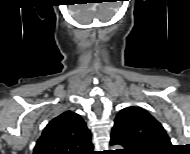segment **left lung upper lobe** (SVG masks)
Instances as JSON below:
<instances>
[{
    "mask_svg": "<svg viewBox=\"0 0 190 154\" xmlns=\"http://www.w3.org/2000/svg\"><path fill=\"white\" fill-rule=\"evenodd\" d=\"M113 131L131 143L138 154L157 153L172 146L163 126L140 107L122 109L115 118Z\"/></svg>",
    "mask_w": 190,
    "mask_h": 154,
    "instance_id": "left-lung-upper-lobe-1",
    "label": "left lung upper lobe"
}]
</instances>
